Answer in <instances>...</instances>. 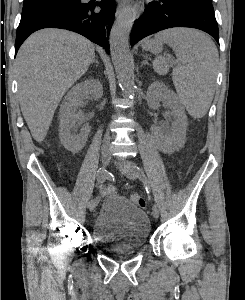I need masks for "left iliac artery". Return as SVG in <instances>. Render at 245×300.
<instances>
[{"mask_svg":"<svg viewBox=\"0 0 245 300\" xmlns=\"http://www.w3.org/2000/svg\"><path fill=\"white\" fill-rule=\"evenodd\" d=\"M137 169H138L139 171H141L140 178H142L143 175H144L143 171H142L139 167H137Z\"/></svg>","mask_w":245,"mask_h":300,"instance_id":"obj_1","label":"left iliac artery"}]
</instances>
